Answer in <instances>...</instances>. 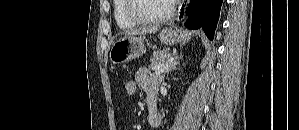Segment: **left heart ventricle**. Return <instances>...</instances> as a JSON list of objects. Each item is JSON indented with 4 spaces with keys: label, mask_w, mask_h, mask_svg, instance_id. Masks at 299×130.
Listing matches in <instances>:
<instances>
[{
    "label": "left heart ventricle",
    "mask_w": 299,
    "mask_h": 130,
    "mask_svg": "<svg viewBox=\"0 0 299 130\" xmlns=\"http://www.w3.org/2000/svg\"><path fill=\"white\" fill-rule=\"evenodd\" d=\"M170 4L166 0H139L136 11L145 17H159L168 13Z\"/></svg>",
    "instance_id": "obj_1"
}]
</instances>
